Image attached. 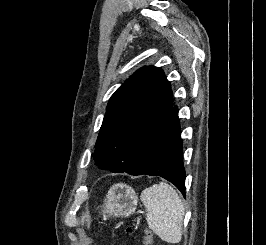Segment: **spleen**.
<instances>
[{
    "label": "spleen",
    "mask_w": 266,
    "mask_h": 245,
    "mask_svg": "<svg viewBox=\"0 0 266 245\" xmlns=\"http://www.w3.org/2000/svg\"><path fill=\"white\" fill-rule=\"evenodd\" d=\"M140 197L149 229L166 243H180L184 205L176 191L167 183H159L144 189Z\"/></svg>",
    "instance_id": "spleen-1"
}]
</instances>
